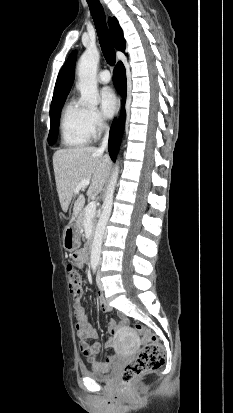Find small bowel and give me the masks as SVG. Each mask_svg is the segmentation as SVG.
<instances>
[{"mask_svg":"<svg viewBox=\"0 0 233 413\" xmlns=\"http://www.w3.org/2000/svg\"><path fill=\"white\" fill-rule=\"evenodd\" d=\"M85 259V249L83 247H76L74 253L71 255L72 264L77 267L78 271L82 270V264ZM83 297V290L80 287L77 291L73 293V306H74V316L76 319V329L77 336L79 338V348L83 355L86 357L88 362L97 371H105L109 364H111L115 356H107L104 362H99L96 356L99 354L101 349V344L99 342H94L89 344V339L97 338V330L93 328L88 322L83 308L81 307V301ZM98 301L103 311L110 312L112 308L109 306L107 301L102 295H98ZM119 328V324L111 322L109 324V330L115 334ZM106 347L115 346V340L110 339L106 342Z\"/></svg>","mask_w":233,"mask_h":413,"instance_id":"1","label":"small bowel"}]
</instances>
